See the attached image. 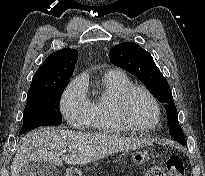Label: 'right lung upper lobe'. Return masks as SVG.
Returning a JSON list of instances; mask_svg holds the SVG:
<instances>
[{"instance_id":"cb5924a9","label":"right lung upper lobe","mask_w":205,"mask_h":176,"mask_svg":"<svg viewBox=\"0 0 205 176\" xmlns=\"http://www.w3.org/2000/svg\"><path fill=\"white\" fill-rule=\"evenodd\" d=\"M77 59V50L71 48H64L49 55L33 76L28 96L46 93L67 84Z\"/></svg>"}]
</instances>
